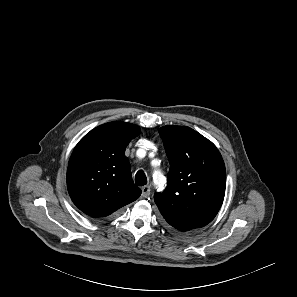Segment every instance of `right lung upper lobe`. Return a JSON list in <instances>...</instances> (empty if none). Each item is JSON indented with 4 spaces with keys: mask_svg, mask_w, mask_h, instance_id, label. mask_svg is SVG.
Instances as JSON below:
<instances>
[{
    "mask_svg": "<svg viewBox=\"0 0 297 297\" xmlns=\"http://www.w3.org/2000/svg\"><path fill=\"white\" fill-rule=\"evenodd\" d=\"M139 133L136 125L110 122L91 130L76 145L68 164L67 188L85 214L109 216L141 195L125 156L127 145Z\"/></svg>",
    "mask_w": 297,
    "mask_h": 297,
    "instance_id": "right-lung-upper-lobe-1",
    "label": "right lung upper lobe"
}]
</instances>
